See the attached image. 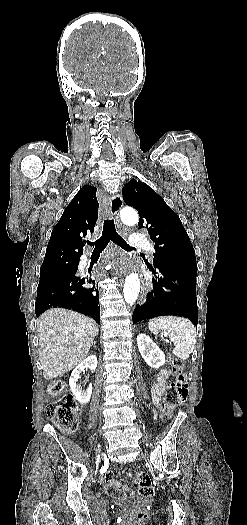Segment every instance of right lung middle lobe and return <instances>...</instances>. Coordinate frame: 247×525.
<instances>
[{
  "label": "right lung middle lobe",
  "mask_w": 247,
  "mask_h": 525,
  "mask_svg": "<svg viewBox=\"0 0 247 525\" xmlns=\"http://www.w3.org/2000/svg\"><path fill=\"white\" fill-rule=\"evenodd\" d=\"M79 258L58 259L44 269L40 270V281L77 270Z\"/></svg>",
  "instance_id": "obj_1"
}]
</instances>
